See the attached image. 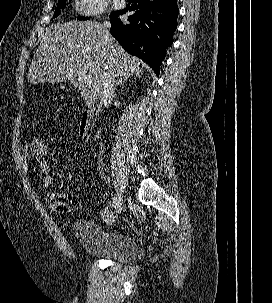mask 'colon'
<instances>
[{"instance_id":"5ec220e1","label":"colon","mask_w":272,"mask_h":303,"mask_svg":"<svg viewBox=\"0 0 272 303\" xmlns=\"http://www.w3.org/2000/svg\"><path fill=\"white\" fill-rule=\"evenodd\" d=\"M31 141L34 161L37 164V170L41 172L49 171L47 163L48 145L45 140L36 137ZM49 207L58 213H68L77 207L75 198L60 192H50L46 196Z\"/></svg>"}]
</instances>
